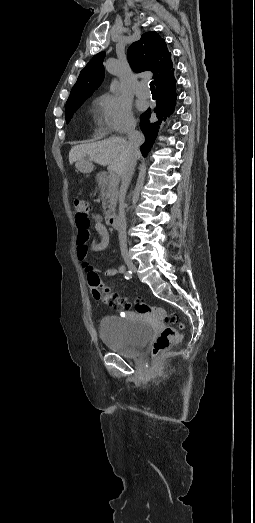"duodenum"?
I'll return each instance as SVG.
<instances>
[{"mask_svg": "<svg viewBox=\"0 0 255 523\" xmlns=\"http://www.w3.org/2000/svg\"><path fill=\"white\" fill-rule=\"evenodd\" d=\"M106 223L111 228H114V229L118 228V225H119L118 216L116 214H109V215H107Z\"/></svg>", "mask_w": 255, "mask_h": 523, "instance_id": "1", "label": "duodenum"}]
</instances>
